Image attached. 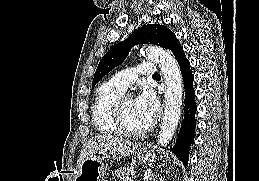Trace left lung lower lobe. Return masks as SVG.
Segmentation results:
<instances>
[{"mask_svg": "<svg viewBox=\"0 0 259 181\" xmlns=\"http://www.w3.org/2000/svg\"><path fill=\"white\" fill-rule=\"evenodd\" d=\"M170 50L173 52L182 73L185 100H184V120L182 122L179 138L173 148L170 150L177 156L179 160L186 166L189 160V148L194 141V130L196 126L195 113L197 106L195 103V90L193 88V74L190 69V63L186 58L183 47L176 42Z\"/></svg>", "mask_w": 259, "mask_h": 181, "instance_id": "1", "label": "left lung lower lobe"}]
</instances>
